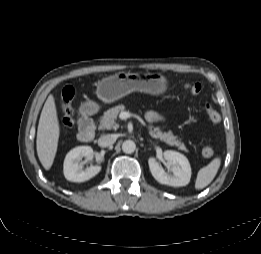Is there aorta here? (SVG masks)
<instances>
[{"label": "aorta", "instance_id": "aorta-1", "mask_svg": "<svg viewBox=\"0 0 261 254\" xmlns=\"http://www.w3.org/2000/svg\"><path fill=\"white\" fill-rule=\"evenodd\" d=\"M136 149V144L132 140H126L122 144V150L126 154H131L135 151Z\"/></svg>", "mask_w": 261, "mask_h": 254}]
</instances>
